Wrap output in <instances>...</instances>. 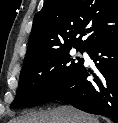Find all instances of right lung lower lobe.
I'll return each mask as SVG.
<instances>
[{"label":"right lung lower lobe","instance_id":"right-lung-lower-lobe-1","mask_svg":"<svg viewBox=\"0 0 118 123\" xmlns=\"http://www.w3.org/2000/svg\"><path fill=\"white\" fill-rule=\"evenodd\" d=\"M87 52L96 72L87 70L83 63L50 98L118 122V35L98 42ZM90 75L94 77L92 81L87 80Z\"/></svg>","mask_w":118,"mask_h":123}]
</instances>
